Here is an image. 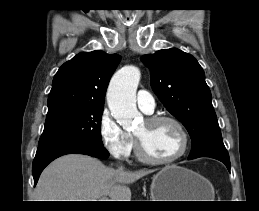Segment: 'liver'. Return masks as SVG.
<instances>
[{
  "mask_svg": "<svg viewBox=\"0 0 259 211\" xmlns=\"http://www.w3.org/2000/svg\"><path fill=\"white\" fill-rule=\"evenodd\" d=\"M154 170L124 171L105 166L96 158L69 154L53 161L36 186V201H131L128 184Z\"/></svg>",
  "mask_w": 259,
  "mask_h": 211,
  "instance_id": "6515ba94",
  "label": "liver"
}]
</instances>
